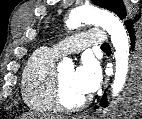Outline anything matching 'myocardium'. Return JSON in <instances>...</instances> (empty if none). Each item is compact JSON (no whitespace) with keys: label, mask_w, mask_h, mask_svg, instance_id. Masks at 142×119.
Wrapping results in <instances>:
<instances>
[{"label":"myocardium","mask_w":142,"mask_h":119,"mask_svg":"<svg viewBox=\"0 0 142 119\" xmlns=\"http://www.w3.org/2000/svg\"><path fill=\"white\" fill-rule=\"evenodd\" d=\"M52 98L55 109L65 113H71L82 110L88 105L90 101L89 97H85L83 100H81L80 102L74 105L65 104L62 98V85L59 73H55L54 76L53 86H52Z\"/></svg>","instance_id":"1"}]
</instances>
